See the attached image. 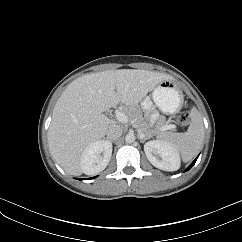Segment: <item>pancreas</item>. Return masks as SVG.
I'll use <instances>...</instances> for the list:
<instances>
[{
  "label": "pancreas",
  "instance_id": "cf45deb5",
  "mask_svg": "<svg viewBox=\"0 0 242 242\" xmlns=\"http://www.w3.org/2000/svg\"><path fill=\"white\" fill-rule=\"evenodd\" d=\"M121 112L125 113L126 115L129 116L130 121L132 124L135 126L139 134H144L145 137L151 138L155 134H163V135H168L171 133H164V128L167 125L166 122H161V124L157 125L156 128L151 129L149 124L142 118L141 112L133 107H125L124 109L121 110ZM172 130V129H168Z\"/></svg>",
  "mask_w": 242,
  "mask_h": 242
}]
</instances>
